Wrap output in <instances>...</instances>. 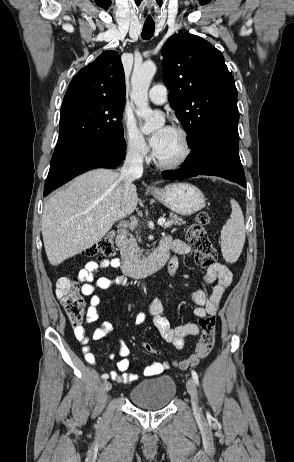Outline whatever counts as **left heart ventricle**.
Instances as JSON below:
<instances>
[{
	"label": "left heart ventricle",
	"instance_id": "left-heart-ventricle-1",
	"mask_svg": "<svg viewBox=\"0 0 294 462\" xmlns=\"http://www.w3.org/2000/svg\"><path fill=\"white\" fill-rule=\"evenodd\" d=\"M183 150L184 147L181 137L172 129L156 155L163 161H172L179 158Z\"/></svg>",
	"mask_w": 294,
	"mask_h": 462
}]
</instances>
